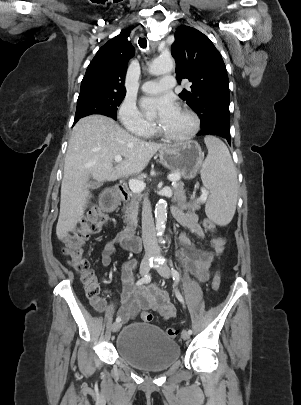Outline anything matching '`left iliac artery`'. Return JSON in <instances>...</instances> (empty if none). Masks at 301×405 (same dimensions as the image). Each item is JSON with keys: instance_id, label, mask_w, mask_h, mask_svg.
<instances>
[{"instance_id": "44dca946", "label": "left iliac artery", "mask_w": 301, "mask_h": 405, "mask_svg": "<svg viewBox=\"0 0 301 405\" xmlns=\"http://www.w3.org/2000/svg\"><path fill=\"white\" fill-rule=\"evenodd\" d=\"M171 273H172L173 280H174L175 284L177 285L179 283V280H180V274L175 268L171 269ZM176 297L178 298V300L181 303H184V299H183L182 295L180 294V292L178 290L176 291ZM188 333L192 334V330L189 329Z\"/></svg>"}]
</instances>
